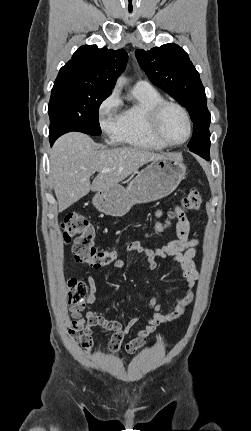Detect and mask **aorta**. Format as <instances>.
<instances>
[{
	"label": "aorta",
	"mask_w": 251,
	"mask_h": 431,
	"mask_svg": "<svg viewBox=\"0 0 251 431\" xmlns=\"http://www.w3.org/2000/svg\"><path fill=\"white\" fill-rule=\"evenodd\" d=\"M125 83V79L123 77H119L117 80V84L121 85Z\"/></svg>",
	"instance_id": "762f6f07"
}]
</instances>
